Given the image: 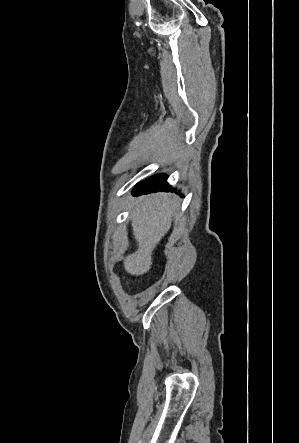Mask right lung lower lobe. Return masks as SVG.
<instances>
[{"instance_id":"obj_1","label":"right lung lower lobe","mask_w":299,"mask_h":443,"mask_svg":"<svg viewBox=\"0 0 299 443\" xmlns=\"http://www.w3.org/2000/svg\"><path fill=\"white\" fill-rule=\"evenodd\" d=\"M160 190L161 191L170 190L169 184L167 183V176L165 174L155 175L141 182L133 190V194L134 195L148 194Z\"/></svg>"}]
</instances>
